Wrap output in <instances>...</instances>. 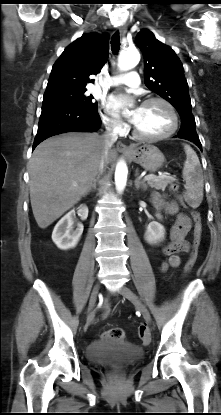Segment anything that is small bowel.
Listing matches in <instances>:
<instances>
[{
  "instance_id": "small-bowel-1",
  "label": "small bowel",
  "mask_w": 221,
  "mask_h": 415,
  "mask_svg": "<svg viewBox=\"0 0 221 415\" xmlns=\"http://www.w3.org/2000/svg\"><path fill=\"white\" fill-rule=\"evenodd\" d=\"M154 206L169 215H176V222L171 228L169 241L163 246V253L167 260L162 264V270L176 268L181 264L180 254L190 250V243L186 235L191 228L190 218L179 212L178 204L174 200H166L161 195H154L152 198ZM109 314V307H104V317Z\"/></svg>"
}]
</instances>
